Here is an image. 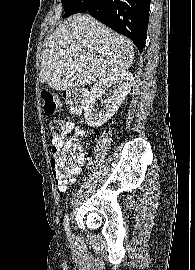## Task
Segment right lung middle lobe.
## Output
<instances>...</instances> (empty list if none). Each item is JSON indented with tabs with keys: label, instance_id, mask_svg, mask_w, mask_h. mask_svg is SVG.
Instances as JSON below:
<instances>
[{
	"label": "right lung middle lobe",
	"instance_id": "right-lung-middle-lobe-1",
	"mask_svg": "<svg viewBox=\"0 0 195 270\" xmlns=\"http://www.w3.org/2000/svg\"><path fill=\"white\" fill-rule=\"evenodd\" d=\"M82 0H61L65 14L63 18L77 13L78 5Z\"/></svg>",
	"mask_w": 195,
	"mask_h": 270
}]
</instances>
